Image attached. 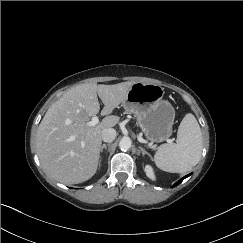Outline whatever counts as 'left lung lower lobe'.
Returning <instances> with one entry per match:
<instances>
[{"instance_id": "1", "label": "left lung lower lobe", "mask_w": 243, "mask_h": 243, "mask_svg": "<svg viewBox=\"0 0 243 243\" xmlns=\"http://www.w3.org/2000/svg\"><path fill=\"white\" fill-rule=\"evenodd\" d=\"M190 175H191V174H189V175L183 177L182 179H180L178 182H176V183L173 185V187H175V186H177L178 184H180L186 177H188V176H190Z\"/></svg>"}]
</instances>
